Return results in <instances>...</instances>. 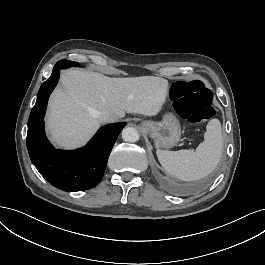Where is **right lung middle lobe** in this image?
<instances>
[{
	"instance_id": "dd1d6c3e",
	"label": "right lung middle lobe",
	"mask_w": 265,
	"mask_h": 265,
	"mask_svg": "<svg viewBox=\"0 0 265 265\" xmlns=\"http://www.w3.org/2000/svg\"><path fill=\"white\" fill-rule=\"evenodd\" d=\"M58 62H59V64H66V68L71 67V66H73V67L79 66L78 63L72 62V61H69V60H61V61H58Z\"/></svg>"
}]
</instances>
